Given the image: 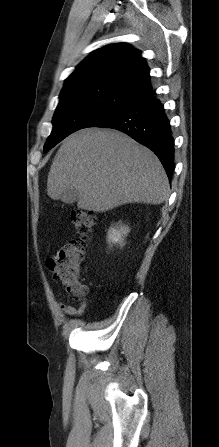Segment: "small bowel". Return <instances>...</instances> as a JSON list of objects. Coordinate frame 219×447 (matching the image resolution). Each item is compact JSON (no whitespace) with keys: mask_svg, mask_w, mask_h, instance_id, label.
<instances>
[{"mask_svg":"<svg viewBox=\"0 0 219 447\" xmlns=\"http://www.w3.org/2000/svg\"><path fill=\"white\" fill-rule=\"evenodd\" d=\"M58 307L63 313L67 315L80 316L86 311L88 307V301L80 300L77 304H69V305L59 302Z\"/></svg>","mask_w":219,"mask_h":447,"instance_id":"1","label":"small bowel"}]
</instances>
